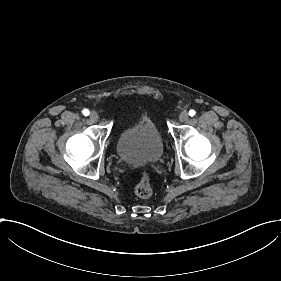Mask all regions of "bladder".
<instances>
[{
  "instance_id": "31cf9c89",
  "label": "bladder",
  "mask_w": 281,
  "mask_h": 281,
  "mask_svg": "<svg viewBox=\"0 0 281 281\" xmlns=\"http://www.w3.org/2000/svg\"><path fill=\"white\" fill-rule=\"evenodd\" d=\"M117 153L122 160L134 165L157 162L163 153V142L153 121L143 118L124 129L118 137Z\"/></svg>"
}]
</instances>
